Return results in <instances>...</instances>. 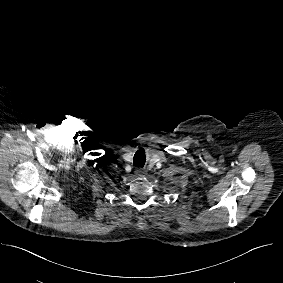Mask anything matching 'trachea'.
<instances>
[{"instance_id":"obj_1","label":"trachea","mask_w":283,"mask_h":283,"mask_svg":"<svg viewBox=\"0 0 283 283\" xmlns=\"http://www.w3.org/2000/svg\"><path fill=\"white\" fill-rule=\"evenodd\" d=\"M134 165L142 167L144 165V162H143V160L138 159V157L135 156V158H134Z\"/></svg>"}]
</instances>
